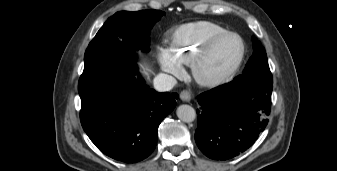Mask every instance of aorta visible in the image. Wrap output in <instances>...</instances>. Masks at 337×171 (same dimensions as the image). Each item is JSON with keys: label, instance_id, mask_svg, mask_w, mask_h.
<instances>
[{"label": "aorta", "instance_id": "obj_1", "mask_svg": "<svg viewBox=\"0 0 337 171\" xmlns=\"http://www.w3.org/2000/svg\"><path fill=\"white\" fill-rule=\"evenodd\" d=\"M177 116L178 118L186 123L193 122L196 118V112L194 108L190 105H180L177 108Z\"/></svg>", "mask_w": 337, "mask_h": 171}]
</instances>
